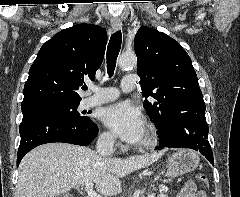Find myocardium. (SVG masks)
<instances>
[{
	"label": "myocardium",
	"mask_w": 240,
	"mask_h": 197,
	"mask_svg": "<svg viewBox=\"0 0 240 197\" xmlns=\"http://www.w3.org/2000/svg\"><path fill=\"white\" fill-rule=\"evenodd\" d=\"M159 141V137L156 129L153 126H149L144 135V139L137 144V148L140 150H149L154 148Z\"/></svg>",
	"instance_id": "f54148a6"
}]
</instances>
